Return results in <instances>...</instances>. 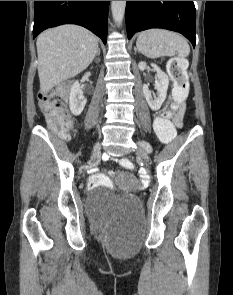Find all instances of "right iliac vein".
<instances>
[{
  "label": "right iliac vein",
  "instance_id": "1",
  "mask_svg": "<svg viewBox=\"0 0 233 295\" xmlns=\"http://www.w3.org/2000/svg\"><path fill=\"white\" fill-rule=\"evenodd\" d=\"M100 149H101L100 143H96L94 148H93L91 158L97 157L99 155V153H100Z\"/></svg>",
  "mask_w": 233,
  "mask_h": 295
}]
</instances>
